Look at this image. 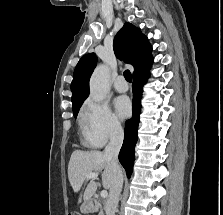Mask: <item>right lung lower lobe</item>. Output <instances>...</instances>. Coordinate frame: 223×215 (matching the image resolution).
Listing matches in <instances>:
<instances>
[{
  "instance_id": "right-lung-lower-lobe-1",
  "label": "right lung lower lobe",
  "mask_w": 223,
  "mask_h": 215,
  "mask_svg": "<svg viewBox=\"0 0 223 215\" xmlns=\"http://www.w3.org/2000/svg\"><path fill=\"white\" fill-rule=\"evenodd\" d=\"M149 77V70L133 76V116L125 123V137L119 153V160L125 168L128 178L131 176L134 161V147L137 142V130L141 110L142 87Z\"/></svg>"
}]
</instances>
